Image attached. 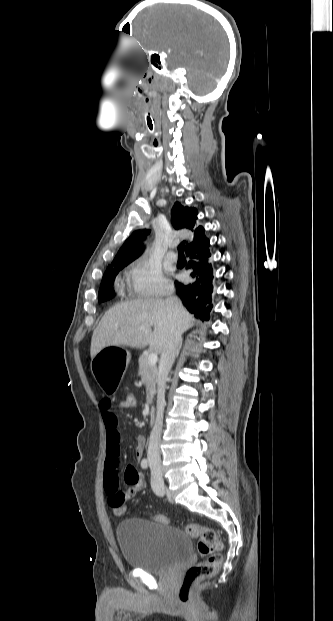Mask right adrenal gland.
<instances>
[{"label": "right adrenal gland", "instance_id": "right-adrenal-gland-1", "mask_svg": "<svg viewBox=\"0 0 333 621\" xmlns=\"http://www.w3.org/2000/svg\"><path fill=\"white\" fill-rule=\"evenodd\" d=\"M181 347H182V340H181V342H180V345H179V349H178V353H177V355H179V352H180Z\"/></svg>", "mask_w": 333, "mask_h": 621}]
</instances>
